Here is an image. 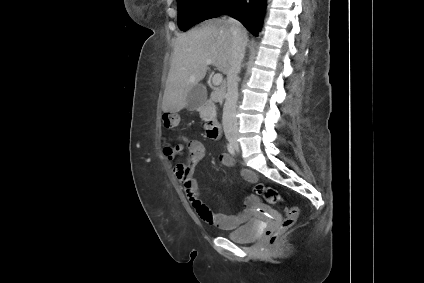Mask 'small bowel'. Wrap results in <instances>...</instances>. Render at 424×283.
Returning a JSON list of instances; mask_svg holds the SVG:
<instances>
[{
	"mask_svg": "<svg viewBox=\"0 0 424 283\" xmlns=\"http://www.w3.org/2000/svg\"><path fill=\"white\" fill-rule=\"evenodd\" d=\"M180 140L186 148L187 156L185 163L174 167V175L182 184L187 199L196 210L199 217L210 225L226 230L234 229L243 224L248 218V213L253 207L254 200L252 198L247 199L245 202V209L236 215H224L212 212L201 199L197 187L196 167L204 159V144L199 140H192L186 136H181ZM219 160L224 166L231 167L234 165L232 157L226 153H221L219 155ZM241 176L251 183L257 181L256 174L249 169L241 170Z\"/></svg>",
	"mask_w": 424,
	"mask_h": 283,
	"instance_id": "1",
	"label": "small bowel"
}]
</instances>
